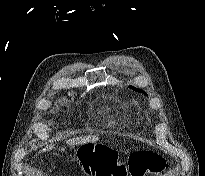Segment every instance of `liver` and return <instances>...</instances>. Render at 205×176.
<instances>
[{
    "mask_svg": "<svg viewBox=\"0 0 205 176\" xmlns=\"http://www.w3.org/2000/svg\"><path fill=\"white\" fill-rule=\"evenodd\" d=\"M99 138L97 136H84V137H78V138H72L66 141V143L70 146L75 145H83L86 143L96 142ZM53 148L52 145L47 146L46 148L42 149L41 151H49Z\"/></svg>",
    "mask_w": 205,
    "mask_h": 176,
    "instance_id": "liver-1",
    "label": "liver"
}]
</instances>
